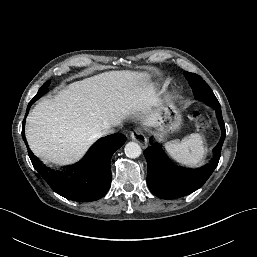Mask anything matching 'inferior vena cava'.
I'll return each mask as SVG.
<instances>
[{"label": "inferior vena cava", "mask_w": 257, "mask_h": 257, "mask_svg": "<svg viewBox=\"0 0 257 257\" xmlns=\"http://www.w3.org/2000/svg\"><path fill=\"white\" fill-rule=\"evenodd\" d=\"M113 133H115V130L110 127V128H107V129L102 133V135L113 134Z\"/></svg>", "instance_id": "obj_1"}]
</instances>
